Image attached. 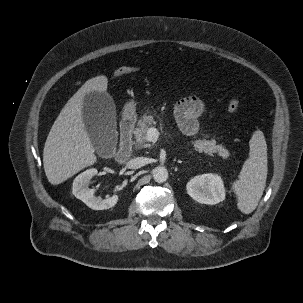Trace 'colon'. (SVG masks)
<instances>
[{
	"mask_svg": "<svg viewBox=\"0 0 303 303\" xmlns=\"http://www.w3.org/2000/svg\"><path fill=\"white\" fill-rule=\"evenodd\" d=\"M136 70H137L136 67L121 66L113 72V76L114 77H121V76L130 74L132 72H135ZM227 109L232 114H238L239 113L240 105H239V101H238L237 97H235V96L230 97V99L228 101V104H227Z\"/></svg>",
	"mask_w": 303,
	"mask_h": 303,
	"instance_id": "colon-1",
	"label": "colon"
}]
</instances>
